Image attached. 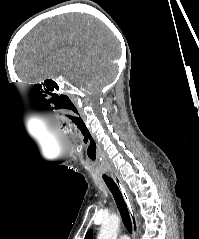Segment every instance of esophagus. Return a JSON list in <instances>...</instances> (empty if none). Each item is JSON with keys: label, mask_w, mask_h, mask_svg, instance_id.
<instances>
[{"label": "esophagus", "mask_w": 199, "mask_h": 239, "mask_svg": "<svg viewBox=\"0 0 199 239\" xmlns=\"http://www.w3.org/2000/svg\"><path fill=\"white\" fill-rule=\"evenodd\" d=\"M114 181L117 183V185L119 186L123 196H124V199L126 201V204H127V207L129 209V212L131 214V216H133V212H134V202H133V198L131 196V193L127 187V185L125 184V182L123 181V179L119 176V175H112ZM132 230H133V233H132V236H133V239H136V236H137V223H136V220L132 218Z\"/></svg>", "instance_id": "obj_1"}]
</instances>
